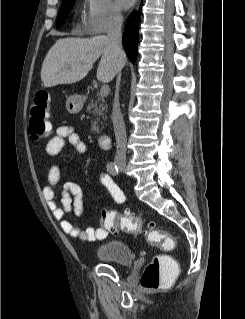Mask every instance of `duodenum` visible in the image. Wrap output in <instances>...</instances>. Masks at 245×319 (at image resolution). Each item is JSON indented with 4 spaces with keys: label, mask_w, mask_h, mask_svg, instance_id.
Returning <instances> with one entry per match:
<instances>
[{
    "label": "duodenum",
    "mask_w": 245,
    "mask_h": 319,
    "mask_svg": "<svg viewBox=\"0 0 245 319\" xmlns=\"http://www.w3.org/2000/svg\"><path fill=\"white\" fill-rule=\"evenodd\" d=\"M98 143L100 148L102 149H109L111 146V137L109 134H101L98 138Z\"/></svg>",
    "instance_id": "obj_1"
}]
</instances>
